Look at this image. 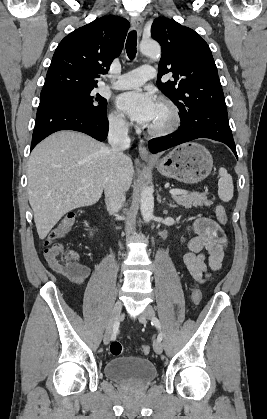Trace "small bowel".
Segmentation results:
<instances>
[{"instance_id":"small-bowel-1","label":"small bowel","mask_w":267,"mask_h":419,"mask_svg":"<svg viewBox=\"0 0 267 419\" xmlns=\"http://www.w3.org/2000/svg\"><path fill=\"white\" fill-rule=\"evenodd\" d=\"M191 229L196 236L190 240L183 262L192 278L200 281L209 276L208 267L216 271L222 268L226 238L220 226L210 218L197 219ZM87 277L88 270L84 268L83 272L72 280L78 285H83Z\"/></svg>"}]
</instances>
